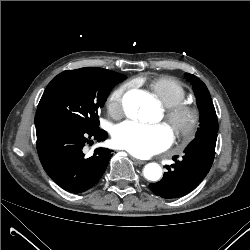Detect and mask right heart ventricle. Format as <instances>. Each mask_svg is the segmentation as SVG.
Masks as SVG:
<instances>
[{"label":"right heart ventricle","mask_w":250,"mask_h":250,"mask_svg":"<svg viewBox=\"0 0 250 250\" xmlns=\"http://www.w3.org/2000/svg\"><path fill=\"white\" fill-rule=\"evenodd\" d=\"M137 83L146 82L151 94L164 107H171L186 98L187 92L183 84L174 77L159 76L153 79H138Z\"/></svg>","instance_id":"right-heart-ventricle-1"}]
</instances>
